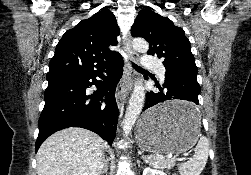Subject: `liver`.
<instances>
[{
  "label": "liver",
  "instance_id": "liver-1",
  "mask_svg": "<svg viewBox=\"0 0 251 175\" xmlns=\"http://www.w3.org/2000/svg\"><path fill=\"white\" fill-rule=\"evenodd\" d=\"M101 137L83 129L67 127L56 131L40 145L37 153L38 175H100L104 167Z\"/></svg>",
  "mask_w": 251,
  "mask_h": 175
}]
</instances>
